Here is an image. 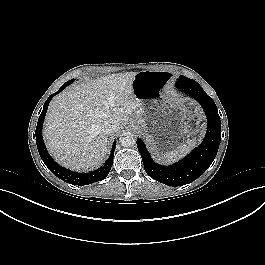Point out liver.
<instances>
[{"label": "liver", "mask_w": 265, "mask_h": 265, "mask_svg": "<svg viewBox=\"0 0 265 265\" xmlns=\"http://www.w3.org/2000/svg\"><path fill=\"white\" fill-rule=\"evenodd\" d=\"M135 75L112 74L81 83L51 101L43 136L58 163L77 171L92 170L103 163L108 152V135L101 130L103 122H115L114 134L142 116L132 87Z\"/></svg>", "instance_id": "1"}]
</instances>
